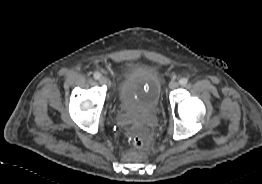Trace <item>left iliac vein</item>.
<instances>
[{
	"instance_id": "4c4485c4",
	"label": "left iliac vein",
	"mask_w": 262,
	"mask_h": 184,
	"mask_svg": "<svg viewBox=\"0 0 262 184\" xmlns=\"http://www.w3.org/2000/svg\"><path fill=\"white\" fill-rule=\"evenodd\" d=\"M178 86H179V83H178L177 81H171V82L169 83V88H170L171 90H174V89L178 88Z\"/></svg>"
}]
</instances>
